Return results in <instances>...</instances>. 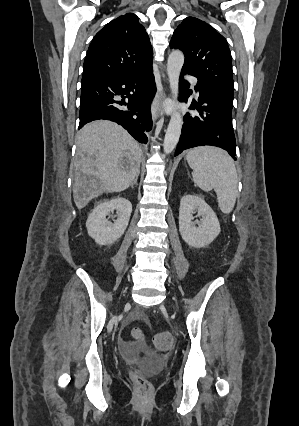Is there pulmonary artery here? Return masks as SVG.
Returning a JSON list of instances; mask_svg holds the SVG:
<instances>
[{
  "label": "pulmonary artery",
  "mask_w": 299,
  "mask_h": 426,
  "mask_svg": "<svg viewBox=\"0 0 299 426\" xmlns=\"http://www.w3.org/2000/svg\"><path fill=\"white\" fill-rule=\"evenodd\" d=\"M190 80H191L193 86L196 88V93L199 95V90H198V87H197V81L194 78H190Z\"/></svg>",
  "instance_id": "obj_1"
}]
</instances>
